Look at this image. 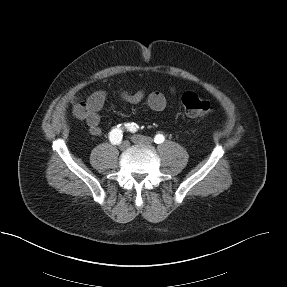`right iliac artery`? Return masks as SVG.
Returning <instances> with one entry per match:
<instances>
[{
  "mask_svg": "<svg viewBox=\"0 0 287 287\" xmlns=\"http://www.w3.org/2000/svg\"><path fill=\"white\" fill-rule=\"evenodd\" d=\"M122 137H123V131L121 129V125H117V127L113 128L109 133V140L111 141L112 144H120Z\"/></svg>",
  "mask_w": 287,
  "mask_h": 287,
  "instance_id": "right-iliac-artery-1",
  "label": "right iliac artery"
}]
</instances>
